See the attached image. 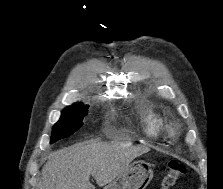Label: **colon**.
<instances>
[{
	"mask_svg": "<svg viewBox=\"0 0 223 189\" xmlns=\"http://www.w3.org/2000/svg\"><path fill=\"white\" fill-rule=\"evenodd\" d=\"M185 172L186 167L180 161L175 159L170 160L161 182L160 189H171Z\"/></svg>",
	"mask_w": 223,
	"mask_h": 189,
	"instance_id": "5ec220e1",
	"label": "colon"
}]
</instances>
